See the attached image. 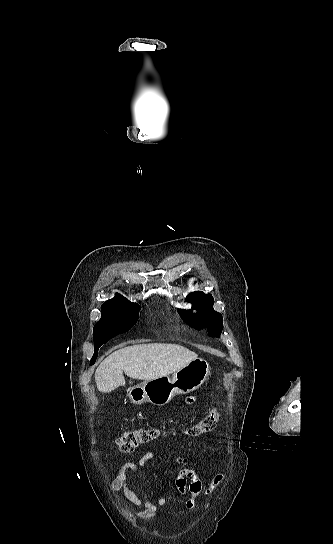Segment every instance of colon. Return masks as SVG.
<instances>
[{
  "mask_svg": "<svg viewBox=\"0 0 333 544\" xmlns=\"http://www.w3.org/2000/svg\"><path fill=\"white\" fill-rule=\"evenodd\" d=\"M219 418V411L212 409L198 422L187 428L186 434L199 436L210 433L214 430ZM159 435L160 431L155 428H133L125 431L117 438V445L121 452L130 453L137 447L155 440Z\"/></svg>",
  "mask_w": 333,
  "mask_h": 544,
  "instance_id": "colon-1",
  "label": "colon"
}]
</instances>
